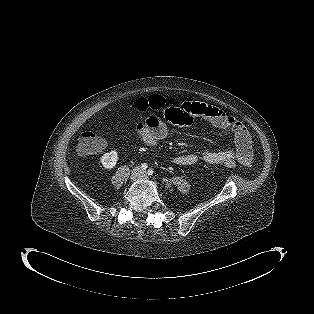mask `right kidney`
Here are the masks:
<instances>
[{
    "label": "right kidney",
    "instance_id": "obj_1",
    "mask_svg": "<svg viewBox=\"0 0 314 314\" xmlns=\"http://www.w3.org/2000/svg\"><path fill=\"white\" fill-rule=\"evenodd\" d=\"M118 161V153L116 151H110L109 153H105L100 158V162L106 169H112L116 166Z\"/></svg>",
    "mask_w": 314,
    "mask_h": 314
}]
</instances>
